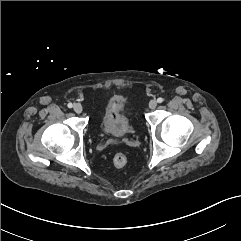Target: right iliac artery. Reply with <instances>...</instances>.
Here are the masks:
<instances>
[{"label": "right iliac artery", "mask_w": 241, "mask_h": 241, "mask_svg": "<svg viewBox=\"0 0 241 241\" xmlns=\"http://www.w3.org/2000/svg\"><path fill=\"white\" fill-rule=\"evenodd\" d=\"M68 108H72L73 107V104L72 103H68Z\"/></svg>", "instance_id": "1"}]
</instances>
